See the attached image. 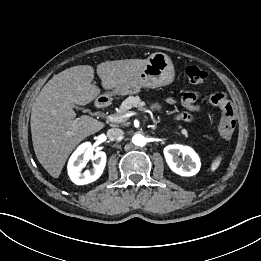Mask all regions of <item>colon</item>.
<instances>
[{
    "label": "colon",
    "mask_w": 261,
    "mask_h": 261,
    "mask_svg": "<svg viewBox=\"0 0 261 261\" xmlns=\"http://www.w3.org/2000/svg\"><path fill=\"white\" fill-rule=\"evenodd\" d=\"M185 73L189 82L194 85L202 84L207 78V73L194 65L188 66ZM206 99L220 109L221 119L218 126V133L222 140L229 141L236 125L235 111L231 101L221 91L210 92L206 96Z\"/></svg>",
    "instance_id": "1"
}]
</instances>
